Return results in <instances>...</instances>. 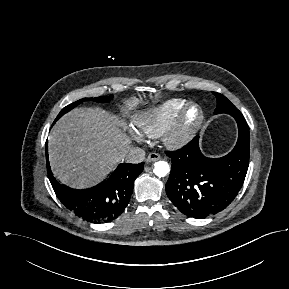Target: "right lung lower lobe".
Wrapping results in <instances>:
<instances>
[{"label":"right lung lower lobe","mask_w":289,"mask_h":289,"mask_svg":"<svg viewBox=\"0 0 289 289\" xmlns=\"http://www.w3.org/2000/svg\"><path fill=\"white\" fill-rule=\"evenodd\" d=\"M47 172L51 185L62 204L80 218L89 222L104 223L115 219L127 206L136 177L144 162L121 163L103 183L84 190H73L61 185L50 168L46 143Z\"/></svg>","instance_id":"98d812e1"}]
</instances>
